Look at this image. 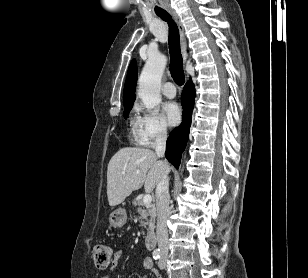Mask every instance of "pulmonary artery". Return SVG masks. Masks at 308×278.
<instances>
[{
	"label": "pulmonary artery",
	"instance_id": "pulmonary-artery-1",
	"mask_svg": "<svg viewBox=\"0 0 308 278\" xmlns=\"http://www.w3.org/2000/svg\"><path fill=\"white\" fill-rule=\"evenodd\" d=\"M162 93L167 97V98H174L176 95V89L173 83L167 82L163 85L162 87Z\"/></svg>",
	"mask_w": 308,
	"mask_h": 278
}]
</instances>
